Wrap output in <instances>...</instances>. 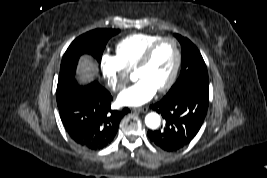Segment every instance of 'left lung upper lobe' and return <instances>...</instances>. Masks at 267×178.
Segmentation results:
<instances>
[{
	"mask_svg": "<svg viewBox=\"0 0 267 178\" xmlns=\"http://www.w3.org/2000/svg\"><path fill=\"white\" fill-rule=\"evenodd\" d=\"M175 36L179 40L182 49L181 73L167 95L191 85L208 89L207 67L199 50L187 38L177 34Z\"/></svg>",
	"mask_w": 267,
	"mask_h": 178,
	"instance_id": "1",
	"label": "left lung upper lobe"
}]
</instances>
